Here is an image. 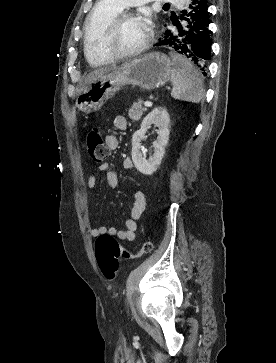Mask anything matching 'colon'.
I'll return each mask as SVG.
<instances>
[{"label":"colon","mask_w":276,"mask_h":363,"mask_svg":"<svg viewBox=\"0 0 276 363\" xmlns=\"http://www.w3.org/2000/svg\"><path fill=\"white\" fill-rule=\"evenodd\" d=\"M87 149L95 163H103L108 157V149L104 143L101 130L92 127L87 133ZM153 244L149 238L142 242L137 252L123 248L117 240L108 234H101L95 241V256L101 273L108 280L115 278L119 269V260L129 259L150 253Z\"/></svg>","instance_id":"colon-1"}]
</instances>
